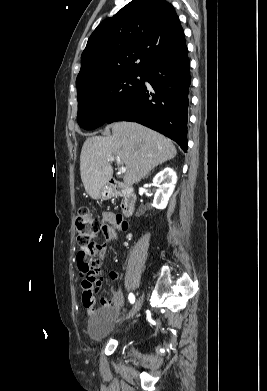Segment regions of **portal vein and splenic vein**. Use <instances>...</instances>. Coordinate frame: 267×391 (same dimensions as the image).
I'll return each instance as SVG.
<instances>
[{"label":"portal vein and splenic vein","instance_id":"18ae733b","mask_svg":"<svg viewBox=\"0 0 267 391\" xmlns=\"http://www.w3.org/2000/svg\"><path fill=\"white\" fill-rule=\"evenodd\" d=\"M114 160V157L113 156H109V158H108V161H113ZM116 160H117V162H120V158L118 157V156H116ZM126 172V167H124V166H121L120 168H119V173H125Z\"/></svg>","mask_w":267,"mask_h":391}]
</instances>
